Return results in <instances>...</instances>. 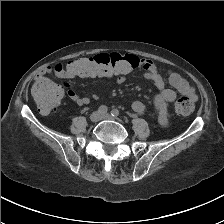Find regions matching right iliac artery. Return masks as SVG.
<instances>
[{
    "label": "right iliac artery",
    "mask_w": 224,
    "mask_h": 224,
    "mask_svg": "<svg viewBox=\"0 0 224 224\" xmlns=\"http://www.w3.org/2000/svg\"><path fill=\"white\" fill-rule=\"evenodd\" d=\"M107 111H108V108L105 105H101L98 108V112L101 113V114H105Z\"/></svg>",
    "instance_id": "right-iliac-artery-1"
}]
</instances>
